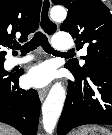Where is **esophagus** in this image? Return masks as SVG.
I'll use <instances>...</instances> for the list:
<instances>
[{
  "mask_svg": "<svg viewBox=\"0 0 112 135\" xmlns=\"http://www.w3.org/2000/svg\"><path fill=\"white\" fill-rule=\"evenodd\" d=\"M46 1V8L43 9L44 2ZM43 1V5L40 12V22L41 27L47 32L48 35H50L51 32L57 29V24L53 23L50 19L49 11L51 8V0H45ZM47 22V24H46ZM39 98L41 101H43L47 95V89H41L39 90Z\"/></svg>",
  "mask_w": 112,
  "mask_h": 135,
  "instance_id": "1",
  "label": "esophagus"
}]
</instances>
